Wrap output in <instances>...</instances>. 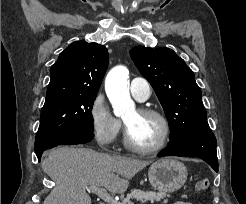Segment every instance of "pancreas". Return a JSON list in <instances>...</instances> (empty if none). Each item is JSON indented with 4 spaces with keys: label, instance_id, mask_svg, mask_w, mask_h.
Wrapping results in <instances>:
<instances>
[{
    "label": "pancreas",
    "instance_id": "obj_1",
    "mask_svg": "<svg viewBox=\"0 0 246 204\" xmlns=\"http://www.w3.org/2000/svg\"><path fill=\"white\" fill-rule=\"evenodd\" d=\"M168 196L169 195H167L166 192H154V191L145 192L135 189L130 194H128L125 199H123L121 204H133L131 202L132 199H136L141 203H146L148 201L154 203V201H160L161 199H164L165 197Z\"/></svg>",
    "mask_w": 246,
    "mask_h": 204
}]
</instances>
